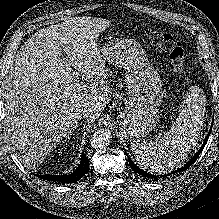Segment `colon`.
<instances>
[{"label": "colon", "instance_id": "colon-1", "mask_svg": "<svg viewBox=\"0 0 219 219\" xmlns=\"http://www.w3.org/2000/svg\"><path fill=\"white\" fill-rule=\"evenodd\" d=\"M145 38L154 46L166 51L169 54V59L173 70L177 74H181L186 63V50L181 42L176 40L172 35L148 31L145 33Z\"/></svg>", "mask_w": 219, "mask_h": 219}]
</instances>
